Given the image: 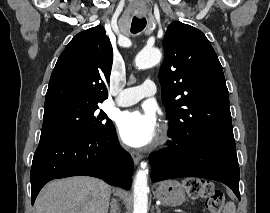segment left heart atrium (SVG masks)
Returning <instances> with one entry per match:
<instances>
[{
	"mask_svg": "<svg viewBox=\"0 0 270 213\" xmlns=\"http://www.w3.org/2000/svg\"><path fill=\"white\" fill-rule=\"evenodd\" d=\"M117 126L123 142L133 147L152 143L158 131L157 117L152 109L126 111L119 116Z\"/></svg>",
	"mask_w": 270,
	"mask_h": 213,
	"instance_id": "left-heart-atrium-1",
	"label": "left heart atrium"
}]
</instances>
